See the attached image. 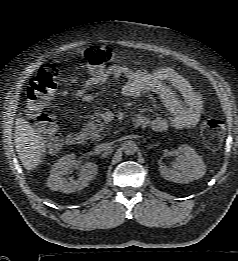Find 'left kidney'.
I'll list each match as a JSON object with an SVG mask.
<instances>
[{
  "mask_svg": "<svg viewBox=\"0 0 238 261\" xmlns=\"http://www.w3.org/2000/svg\"><path fill=\"white\" fill-rule=\"evenodd\" d=\"M179 156L173 163V168L161 164L159 172L168 181L175 183H189L204 176L206 166L202 158L188 145L178 148Z\"/></svg>",
  "mask_w": 238,
  "mask_h": 261,
  "instance_id": "5707ae66",
  "label": "left kidney"
}]
</instances>
